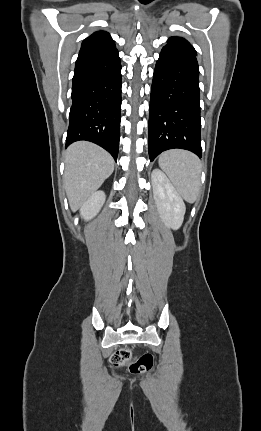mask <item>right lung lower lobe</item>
Returning <instances> with one entry per match:
<instances>
[{
  "label": "right lung lower lobe",
  "instance_id": "1",
  "mask_svg": "<svg viewBox=\"0 0 261 431\" xmlns=\"http://www.w3.org/2000/svg\"><path fill=\"white\" fill-rule=\"evenodd\" d=\"M66 147L91 141L116 160L120 140L121 63L118 50L80 52L72 84Z\"/></svg>",
  "mask_w": 261,
  "mask_h": 431
}]
</instances>
